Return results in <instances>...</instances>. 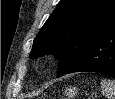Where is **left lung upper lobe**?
<instances>
[{"instance_id":"1","label":"left lung upper lobe","mask_w":115,"mask_h":99,"mask_svg":"<svg viewBox=\"0 0 115 99\" xmlns=\"http://www.w3.org/2000/svg\"><path fill=\"white\" fill-rule=\"evenodd\" d=\"M115 25V0H60L36 36L30 58L55 54L60 60L57 77Z\"/></svg>"}]
</instances>
